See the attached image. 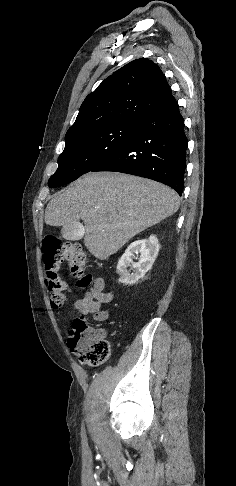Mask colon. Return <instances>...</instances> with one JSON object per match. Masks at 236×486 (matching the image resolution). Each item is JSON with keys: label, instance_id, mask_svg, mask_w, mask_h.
Masks as SVG:
<instances>
[{"label": "colon", "instance_id": "colon-1", "mask_svg": "<svg viewBox=\"0 0 236 486\" xmlns=\"http://www.w3.org/2000/svg\"><path fill=\"white\" fill-rule=\"evenodd\" d=\"M69 264L70 272L77 278V286L86 289L92 276L86 272L87 259L78 244H63L55 237L46 238L43 243L44 278L50 295L51 306L61 308L65 302L66 282L59 271L63 263ZM68 347L83 364L99 366L110 355V345L99 330L89 326L85 316L74 318L68 337Z\"/></svg>", "mask_w": 236, "mask_h": 486}]
</instances>
